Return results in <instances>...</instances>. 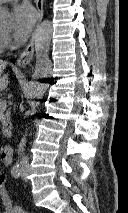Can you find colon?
Masks as SVG:
<instances>
[{"mask_svg":"<svg viewBox=\"0 0 128 213\" xmlns=\"http://www.w3.org/2000/svg\"><path fill=\"white\" fill-rule=\"evenodd\" d=\"M12 213H29V212L25 211L21 207L13 206L12 207Z\"/></svg>","mask_w":128,"mask_h":213,"instance_id":"colon-1","label":"colon"}]
</instances>
